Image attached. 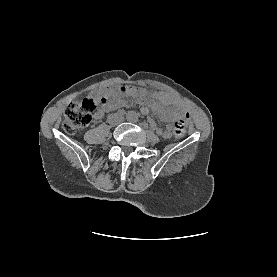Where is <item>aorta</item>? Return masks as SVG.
I'll return each mask as SVG.
<instances>
[{"instance_id": "1", "label": "aorta", "mask_w": 277, "mask_h": 277, "mask_svg": "<svg viewBox=\"0 0 277 277\" xmlns=\"http://www.w3.org/2000/svg\"><path fill=\"white\" fill-rule=\"evenodd\" d=\"M126 118L129 122H136L138 120V114L135 111H129Z\"/></svg>"}]
</instances>
